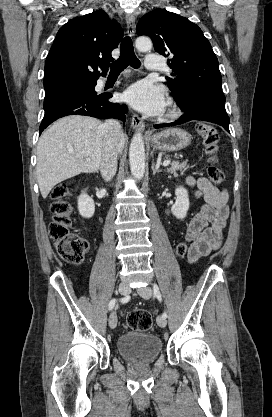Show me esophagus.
Wrapping results in <instances>:
<instances>
[{
  "mask_svg": "<svg viewBox=\"0 0 272 417\" xmlns=\"http://www.w3.org/2000/svg\"><path fill=\"white\" fill-rule=\"evenodd\" d=\"M126 25H127V34L130 37L134 36V33H135V17H134L133 14H127L126 15ZM131 125H132L133 129H135V130L144 129V122L136 114H134L132 116Z\"/></svg>",
  "mask_w": 272,
  "mask_h": 417,
  "instance_id": "34e87169",
  "label": "esophagus"
}]
</instances>
